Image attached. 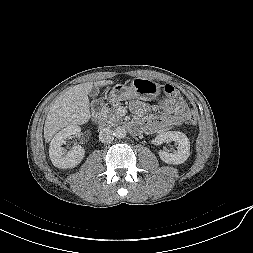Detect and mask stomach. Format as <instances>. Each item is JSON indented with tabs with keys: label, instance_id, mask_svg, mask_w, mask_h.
Wrapping results in <instances>:
<instances>
[{
	"label": "stomach",
	"instance_id": "obj_1",
	"mask_svg": "<svg viewBox=\"0 0 253 253\" xmlns=\"http://www.w3.org/2000/svg\"><path fill=\"white\" fill-rule=\"evenodd\" d=\"M161 86L155 81L147 78L137 77L130 86L117 84L113 87L109 95L111 103L126 99L154 100L160 94Z\"/></svg>",
	"mask_w": 253,
	"mask_h": 253
}]
</instances>
